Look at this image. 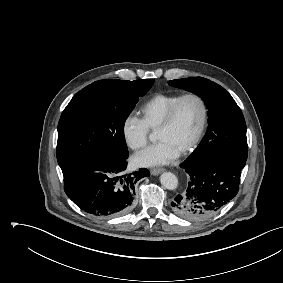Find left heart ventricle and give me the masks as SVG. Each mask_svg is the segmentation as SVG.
Segmentation results:
<instances>
[{
	"instance_id": "b2bd125f",
	"label": "left heart ventricle",
	"mask_w": 283,
	"mask_h": 283,
	"mask_svg": "<svg viewBox=\"0 0 283 283\" xmlns=\"http://www.w3.org/2000/svg\"><path fill=\"white\" fill-rule=\"evenodd\" d=\"M201 121V107L195 99L185 100L176 115L173 125L158 131L159 141H166L180 152L192 141Z\"/></svg>"
}]
</instances>
